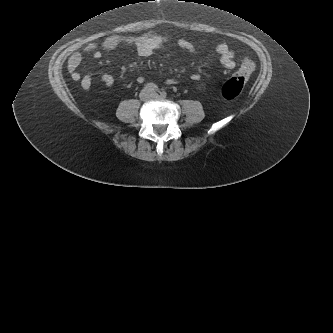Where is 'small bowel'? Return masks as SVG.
Here are the masks:
<instances>
[{
    "instance_id": "obj_1",
    "label": "small bowel",
    "mask_w": 333,
    "mask_h": 333,
    "mask_svg": "<svg viewBox=\"0 0 333 333\" xmlns=\"http://www.w3.org/2000/svg\"><path fill=\"white\" fill-rule=\"evenodd\" d=\"M165 44V40L161 36L149 35V36H110L106 38L101 44L91 43L84 47L83 53L92 54L93 57L99 59L102 57L103 51H112L118 46L128 45L136 49L137 53L141 57H149L152 55L155 49L162 47ZM177 45L189 53H195V46L191 41L185 38L177 40ZM216 52L219 56L221 65L227 69L232 70L236 64L234 61L233 51L225 44H220L216 48ZM67 69L70 77L75 81H80L81 87L84 90H88L92 85L93 75L87 73L82 76L78 71V66L82 60V54L79 51L72 50L67 53ZM191 79L198 81L201 76L199 73H192ZM100 80L106 88H111L114 85V77L109 73H101ZM139 83L144 82L143 77L138 78ZM176 79L167 80L168 84H176Z\"/></svg>"
}]
</instances>
